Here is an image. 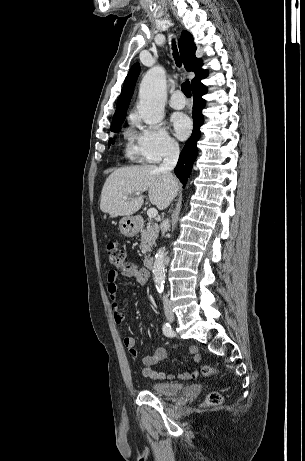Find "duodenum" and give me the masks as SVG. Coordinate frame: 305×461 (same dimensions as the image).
Masks as SVG:
<instances>
[{
    "label": "duodenum",
    "instance_id": "1",
    "mask_svg": "<svg viewBox=\"0 0 305 461\" xmlns=\"http://www.w3.org/2000/svg\"><path fill=\"white\" fill-rule=\"evenodd\" d=\"M144 265L147 269H152L154 266V258L151 256H147L144 260Z\"/></svg>",
    "mask_w": 305,
    "mask_h": 461
}]
</instances>
